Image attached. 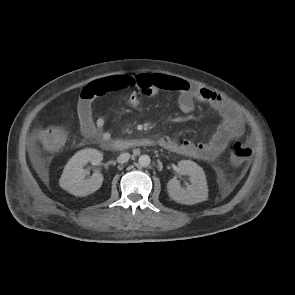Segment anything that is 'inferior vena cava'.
<instances>
[{
	"mask_svg": "<svg viewBox=\"0 0 295 295\" xmlns=\"http://www.w3.org/2000/svg\"><path fill=\"white\" fill-rule=\"evenodd\" d=\"M130 159V154L127 152V153H122L118 156L117 158V161L119 163H125L127 162L128 160Z\"/></svg>",
	"mask_w": 295,
	"mask_h": 295,
	"instance_id": "602c4592",
	"label": "inferior vena cava"
}]
</instances>
